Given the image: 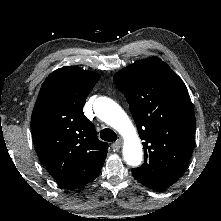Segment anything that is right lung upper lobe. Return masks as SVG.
Returning <instances> with one entry per match:
<instances>
[{"label": "right lung upper lobe", "instance_id": "cb5924a9", "mask_svg": "<svg viewBox=\"0 0 221 221\" xmlns=\"http://www.w3.org/2000/svg\"><path fill=\"white\" fill-rule=\"evenodd\" d=\"M100 79L95 72L65 66L43 83L31 117L34 146L49 174L66 187L100 174L108 144L98 139L82 109Z\"/></svg>", "mask_w": 221, "mask_h": 221}]
</instances>
